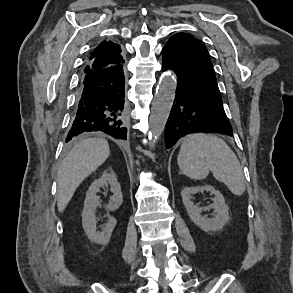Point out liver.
I'll use <instances>...</instances> for the list:
<instances>
[{
  "label": "liver",
  "instance_id": "1",
  "mask_svg": "<svg viewBox=\"0 0 293 293\" xmlns=\"http://www.w3.org/2000/svg\"><path fill=\"white\" fill-rule=\"evenodd\" d=\"M110 148L103 138L80 141L64 158L57 173V207L63 212L78 186L109 157Z\"/></svg>",
  "mask_w": 293,
  "mask_h": 293
}]
</instances>
